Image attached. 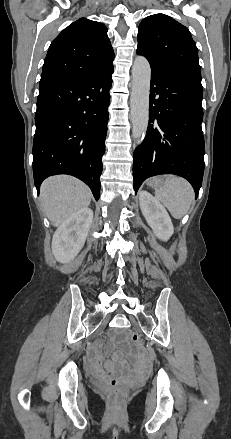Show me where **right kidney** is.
<instances>
[{"instance_id": "obj_1", "label": "right kidney", "mask_w": 231, "mask_h": 439, "mask_svg": "<svg viewBox=\"0 0 231 439\" xmlns=\"http://www.w3.org/2000/svg\"><path fill=\"white\" fill-rule=\"evenodd\" d=\"M93 220V211L83 208L67 218L55 231L52 252L61 263L72 260L82 249Z\"/></svg>"}]
</instances>
